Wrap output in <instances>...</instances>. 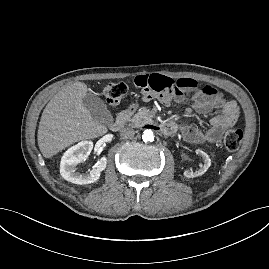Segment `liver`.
Instances as JSON below:
<instances>
[{
  "mask_svg": "<svg viewBox=\"0 0 269 269\" xmlns=\"http://www.w3.org/2000/svg\"><path fill=\"white\" fill-rule=\"evenodd\" d=\"M88 94L87 85L74 82L62 88L43 110L38 146L45 158H50L68 146L104 135L108 129L95 121L83 104Z\"/></svg>",
  "mask_w": 269,
  "mask_h": 269,
  "instance_id": "obj_1",
  "label": "liver"
}]
</instances>
